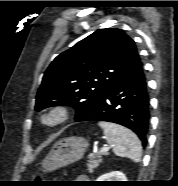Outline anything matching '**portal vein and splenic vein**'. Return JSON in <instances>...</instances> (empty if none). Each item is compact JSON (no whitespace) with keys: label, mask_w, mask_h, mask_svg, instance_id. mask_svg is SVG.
I'll list each match as a JSON object with an SVG mask.
<instances>
[{"label":"portal vein and splenic vein","mask_w":178,"mask_h":186,"mask_svg":"<svg viewBox=\"0 0 178 186\" xmlns=\"http://www.w3.org/2000/svg\"><path fill=\"white\" fill-rule=\"evenodd\" d=\"M109 149H110V147H108V146L102 147V148L100 149V154L106 153Z\"/></svg>","instance_id":"portal-vein-and-splenic-vein-1"}]
</instances>
